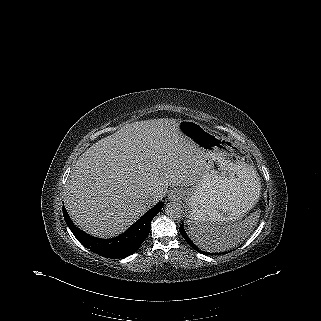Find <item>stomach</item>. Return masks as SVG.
Masks as SVG:
<instances>
[{"mask_svg":"<svg viewBox=\"0 0 321 321\" xmlns=\"http://www.w3.org/2000/svg\"><path fill=\"white\" fill-rule=\"evenodd\" d=\"M180 132L201 151L205 169L184 193L187 220L228 224L241 220L256 204L261 183L250 156L219 132L193 120L179 121Z\"/></svg>","mask_w":321,"mask_h":321,"instance_id":"0dacf381","label":"stomach"}]
</instances>
